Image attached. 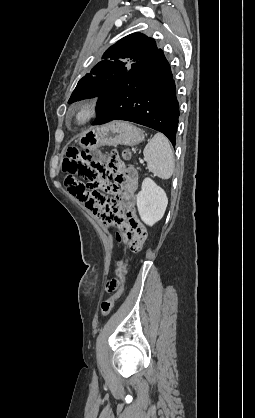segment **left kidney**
<instances>
[{
	"label": "left kidney",
	"instance_id": "1",
	"mask_svg": "<svg viewBox=\"0 0 255 418\" xmlns=\"http://www.w3.org/2000/svg\"><path fill=\"white\" fill-rule=\"evenodd\" d=\"M168 198L165 191L151 178H145L141 191L137 194V207L141 220L149 226H153L162 219Z\"/></svg>",
	"mask_w": 255,
	"mask_h": 418
}]
</instances>
